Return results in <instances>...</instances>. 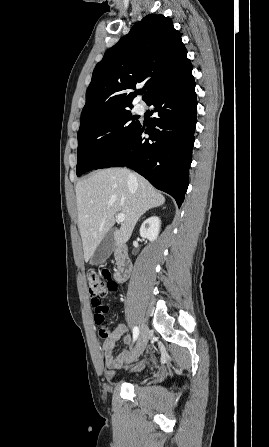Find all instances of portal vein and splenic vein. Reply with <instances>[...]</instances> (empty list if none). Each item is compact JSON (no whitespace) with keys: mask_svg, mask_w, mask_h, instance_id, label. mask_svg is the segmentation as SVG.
Wrapping results in <instances>:
<instances>
[{"mask_svg":"<svg viewBox=\"0 0 269 447\" xmlns=\"http://www.w3.org/2000/svg\"><path fill=\"white\" fill-rule=\"evenodd\" d=\"M118 222H124L125 220V216L124 214H118V216H116Z\"/></svg>","mask_w":269,"mask_h":447,"instance_id":"1","label":"portal vein and splenic vein"}]
</instances>
